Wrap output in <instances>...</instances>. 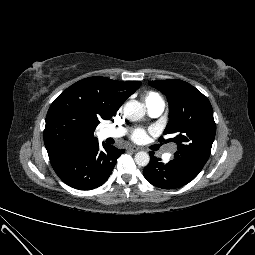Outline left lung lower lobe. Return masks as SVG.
Returning <instances> with one entry per match:
<instances>
[{
	"instance_id": "obj_1",
	"label": "left lung lower lobe",
	"mask_w": 255,
	"mask_h": 255,
	"mask_svg": "<svg viewBox=\"0 0 255 255\" xmlns=\"http://www.w3.org/2000/svg\"><path fill=\"white\" fill-rule=\"evenodd\" d=\"M150 162L144 168L143 175L152 185L162 189H175L192 181L204 165L197 162L174 158L164 164L150 152Z\"/></svg>"
}]
</instances>
